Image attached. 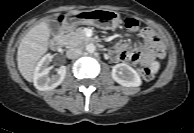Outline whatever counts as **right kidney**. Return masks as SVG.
<instances>
[{
    "mask_svg": "<svg viewBox=\"0 0 194 133\" xmlns=\"http://www.w3.org/2000/svg\"><path fill=\"white\" fill-rule=\"evenodd\" d=\"M52 61L50 54L45 55L37 64L34 72V86L40 91H48L59 86L66 75V67L61 66L57 70V74L50 75L49 64Z\"/></svg>",
    "mask_w": 194,
    "mask_h": 133,
    "instance_id": "obj_1",
    "label": "right kidney"
}]
</instances>
